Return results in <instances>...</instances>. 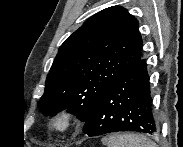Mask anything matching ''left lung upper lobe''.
Listing matches in <instances>:
<instances>
[{
  "label": "left lung upper lobe",
  "mask_w": 183,
  "mask_h": 147,
  "mask_svg": "<svg viewBox=\"0 0 183 147\" xmlns=\"http://www.w3.org/2000/svg\"><path fill=\"white\" fill-rule=\"evenodd\" d=\"M138 21L113 6L90 17L59 48L38 107L45 115L67 109L86 121L122 74L142 56Z\"/></svg>",
  "instance_id": "left-lung-upper-lobe-1"
}]
</instances>
